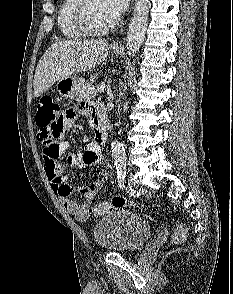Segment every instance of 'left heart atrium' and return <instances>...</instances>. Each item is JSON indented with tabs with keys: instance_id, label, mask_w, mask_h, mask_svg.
I'll list each match as a JSON object with an SVG mask.
<instances>
[{
	"instance_id": "1",
	"label": "left heart atrium",
	"mask_w": 233,
	"mask_h": 294,
	"mask_svg": "<svg viewBox=\"0 0 233 294\" xmlns=\"http://www.w3.org/2000/svg\"><path fill=\"white\" fill-rule=\"evenodd\" d=\"M129 0H104L111 15L118 19L127 9Z\"/></svg>"
}]
</instances>
